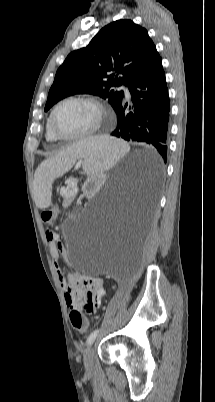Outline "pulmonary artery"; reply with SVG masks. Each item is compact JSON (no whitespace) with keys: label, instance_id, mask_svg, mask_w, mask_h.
I'll list each match as a JSON object with an SVG mask.
<instances>
[{"label":"pulmonary artery","instance_id":"obj_1","mask_svg":"<svg viewBox=\"0 0 215 402\" xmlns=\"http://www.w3.org/2000/svg\"><path fill=\"white\" fill-rule=\"evenodd\" d=\"M121 88L123 89L125 95H126L127 97H129V96H130L129 89H128L126 86H124V85H123Z\"/></svg>","mask_w":215,"mask_h":402}]
</instances>
